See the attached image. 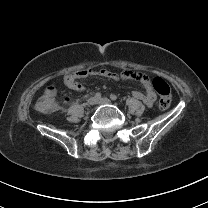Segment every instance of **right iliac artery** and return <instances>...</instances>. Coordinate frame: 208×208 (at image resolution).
I'll use <instances>...</instances> for the list:
<instances>
[{
	"label": "right iliac artery",
	"instance_id": "obj_1",
	"mask_svg": "<svg viewBox=\"0 0 208 208\" xmlns=\"http://www.w3.org/2000/svg\"><path fill=\"white\" fill-rule=\"evenodd\" d=\"M95 98H96V99H100V98H101V93L97 92V93L95 94Z\"/></svg>",
	"mask_w": 208,
	"mask_h": 208
}]
</instances>
